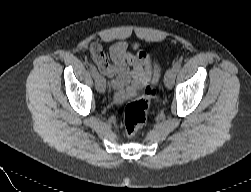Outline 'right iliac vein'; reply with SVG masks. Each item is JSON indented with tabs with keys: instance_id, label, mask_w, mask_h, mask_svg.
Returning a JSON list of instances; mask_svg holds the SVG:
<instances>
[{
	"instance_id": "1",
	"label": "right iliac vein",
	"mask_w": 251,
	"mask_h": 192,
	"mask_svg": "<svg viewBox=\"0 0 251 192\" xmlns=\"http://www.w3.org/2000/svg\"><path fill=\"white\" fill-rule=\"evenodd\" d=\"M95 86H96L97 91H99L100 93H104L106 89V81L104 77H102L101 75H98L95 78Z\"/></svg>"
}]
</instances>
